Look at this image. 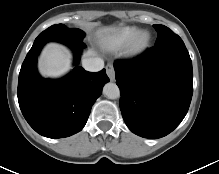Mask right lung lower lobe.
Segmentation results:
<instances>
[{"label": "right lung lower lobe", "instance_id": "98d812e1", "mask_svg": "<svg viewBox=\"0 0 219 174\" xmlns=\"http://www.w3.org/2000/svg\"><path fill=\"white\" fill-rule=\"evenodd\" d=\"M62 43L72 48L77 65L85 44L82 41ZM43 45L32 47L22 64L18 102L24 118L37 133L48 138H64L82 130L109 78L105 69L91 73L76 66L63 79H43L36 68Z\"/></svg>", "mask_w": 219, "mask_h": 174}]
</instances>
